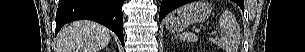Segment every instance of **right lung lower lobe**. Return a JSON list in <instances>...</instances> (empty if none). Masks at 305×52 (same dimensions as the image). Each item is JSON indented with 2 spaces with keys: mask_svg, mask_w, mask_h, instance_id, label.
Listing matches in <instances>:
<instances>
[{
  "mask_svg": "<svg viewBox=\"0 0 305 52\" xmlns=\"http://www.w3.org/2000/svg\"><path fill=\"white\" fill-rule=\"evenodd\" d=\"M123 3L124 0H60L56 13V34L66 23L92 20L112 30L124 46Z\"/></svg>",
  "mask_w": 305,
  "mask_h": 52,
  "instance_id": "right-lung-lower-lobe-1",
  "label": "right lung lower lobe"
}]
</instances>
